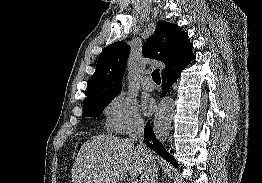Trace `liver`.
Returning <instances> with one entry per match:
<instances>
[{
  "label": "liver",
  "mask_w": 262,
  "mask_h": 183,
  "mask_svg": "<svg viewBox=\"0 0 262 183\" xmlns=\"http://www.w3.org/2000/svg\"><path fill=\"white\" fill-rule=\"evenodd\" d=\"M142 158L130 138L100 134L88 139L80 148L72 167L73 183H119L128 173H141Z\"/></svg>",
  "instance_id": "obj_1"
}]
</instances>
